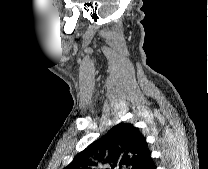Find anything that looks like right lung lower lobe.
<instances>
[{
  "mask_svg": "<svg viewBox=\"0 0 208 169\" xmlns=\"http://www.w3.org/2000/svg\"><path fill=\"white\" fill-rule=\"evenodd\" d=\"M142 169H156L152 158L142 167Z\"/></svg>",
  "mask_w": 208,
  "mask_h": 169,
  "instance_id": "98d812e1",
  "label": "right lung lower lobe"
}]
</instances>
